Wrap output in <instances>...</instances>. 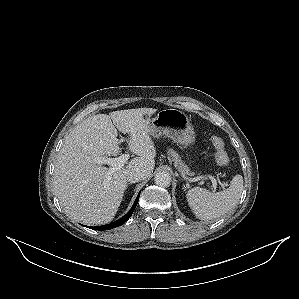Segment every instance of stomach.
<instances>
[{
    "label": "stomach",
    "instance_id": "0dacf381",
    "mask_svg": "<svg viewBox=\"0 0 299 299\" xmlns=\"http://www.w3.org/2000/svg\"><path fill=\"white\" fill-rule=\"evenodd\" d=\"M149 134L154 138L165 135L185 147L195 141L194 128L188 116L178 109H163L149 119Z\"/></svg>",
    "mask_w": 299,
    "mask_h": 299
}]
</instances>
